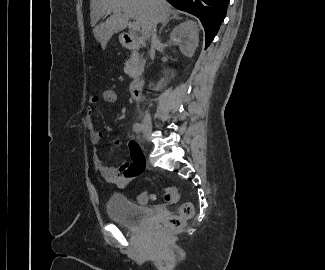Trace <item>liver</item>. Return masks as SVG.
I'll list each match as a JSON object with an SVG mask.
<instances>
[{"label":"liver","instance_id":"6515ba94","mask_svg":"<svg viewBox=\"0 0 325 270\" xmlns=\"http://www.w3.org/2000/svg\"><path fill=\"white\" fill-rule=\"evenodd\" d=\"M113 12L104 23L96 25L105 14ZM174 13L166 0H91L90 18L95 39L105 47L114 33L127 27L128 17L136 20L144 39H149L153 26Z\"/></svg>","mask_w":325,"mask_h":270}]
</instances>
